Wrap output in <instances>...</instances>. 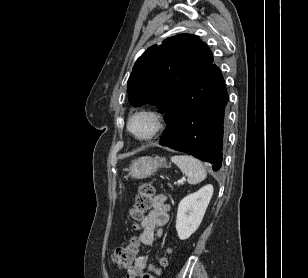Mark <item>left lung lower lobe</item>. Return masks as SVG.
<instances>
[{
    "instance_id": "left-lung-lower-lobe-1",
    "label": "left lung lower lobe",
    "mask_w": 308,
    "mask_h": 278,
    "mask_svg": "<svg viewBox=\"0 0 308 278\" xmlns=\"http://www.w3.org/2000/svg\"><path fill=\"white\" fill-rule=\"evenodd\" d=\"M227 102L223 76L212 64L188 83L166 110L168 125L160 145L193 155L219 170Z\"/></svg>"
}]
</instances>
